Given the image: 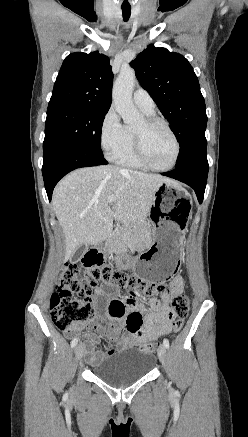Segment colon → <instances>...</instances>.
Listing matches in <instances>:
<instances>
[{
    "instance_id": "5ec220e1",
    "label": "colon",
    "mask_w": 248,
    "mask_h": 437,
    "mask_svg": "<svg viewBox=\"0 0 248 437\" xmlns=\"http://www.w3.org/2000/svg\"><path fill=\"white\" fill-rule=\"evenodd\" d=\"M85 267V279L80 278L78 265L68 263L59 275L56 290L51 296L50 312L53 323L58 329L66 330L73 325H84L94 319V309L90 302L92 288L98 282L113 283L130 293L145 298H155L167 293L170 298L169 316L174 319L173 333H178L189 312V299L182 292H170L165 286H145L143 279L119 272L103 263V256L82 260ZM156 344L147 342L140 345L143 352H154Z\"/></svg>"
}]
</instances>
